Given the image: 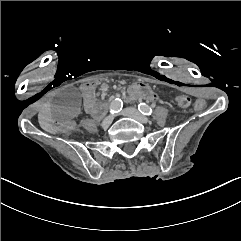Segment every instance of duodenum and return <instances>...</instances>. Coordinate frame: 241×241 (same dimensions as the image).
<instances>
[{
    "instance_id": "1",
    "label": "duodenum",
    "mask_w": 241,
    "mask_h": 241,
    "mask_svg": "<svg viewBox=\"0 0 241 241\" xmlns=\"http://www.w3.org/2000/svg\"><path fill=\"white\" fill-rule=\"evenodd\" d=\"M101 113H102V109H101V108H99V109L96 111L95 115H96V116H100V115H101Z\"/></svg>"
}]
</instances>
